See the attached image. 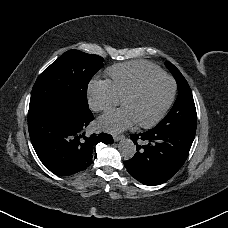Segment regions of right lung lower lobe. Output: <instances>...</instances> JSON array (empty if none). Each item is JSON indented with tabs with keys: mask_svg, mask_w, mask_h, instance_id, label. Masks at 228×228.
<instances>
[{
	"mask_svg": "<svg viewBox=\"0 0 228 228\" xmlns=\"http://www.w3.org/2000/svg\"><path fill=\"white\" fill-rule=\"evenodd\" d=\"M93 119L92 114L77 117L60 107L28 112L32 145L48 170L60 176L77 173L92 163L98 143H113L109 134L86 133V128Z\"/></svg>",
	"mask_w": 228,
	"mask_h": 228,
	"instance_id": "right-lung-lower-lobe-1",
	"label": "right lung lower lobe"
}]
</instances>
